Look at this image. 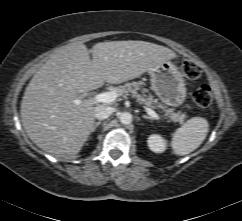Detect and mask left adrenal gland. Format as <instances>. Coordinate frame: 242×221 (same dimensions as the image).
Wrapping results in <instances>:
<instances>
[{"instance_id":"a2214340","label":"left adrenal gland","mask_w":242,"mask_h":221,"mask_svg":"<svg viewBox=\"0 0 242 221\" xmlns=\"http://www.w3.org/2000/svg\"><path fill=\"white\" fill-rule=\"evenodd\" d=\"M142 117H143L144 119H150V120H152V119H153L152 117L147 116V115H143Z\"/></svg>"}]
</instances>
